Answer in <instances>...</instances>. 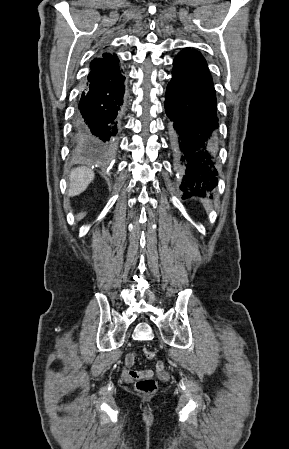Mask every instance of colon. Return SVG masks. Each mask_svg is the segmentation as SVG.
<instances>
[{
  "instance_id": "colon-1",
  "label": "colon",
  "mask_w": 289,
  "mask_h": 449,
  "mask_svg": "<svg viewBox=\"0 0 289 449\" xmlns=\"http://www.w3.org/2000/svg\"><path fill=\"white\" fill-rule=\"evenodd\" d=\"M144 354L148 359L155 357V352L145 349ZM136 390L143 394H151L157 389V382L151 376L138 377L135 383Z\"/></svg>"
}]
</instances>
